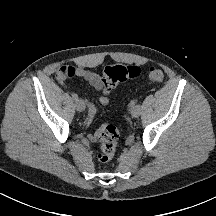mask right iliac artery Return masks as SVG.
<instances>
[{
  "instance_id": "1",
  "label": "right iliac artery",
  "mask_w": 216,
  "mask_h": 216,
  "mask_svg": "<svg viewBox=\"0 0 216 216\" xmlns=\"http://www.w3.org/2000/svg\"><path fill=\"white\" fill-rule=\"evenodd\" d=\"M72 98H73L74 100H78V95L75 94V93H73V94H72Z\"/></svg>"
}]
</instances>
